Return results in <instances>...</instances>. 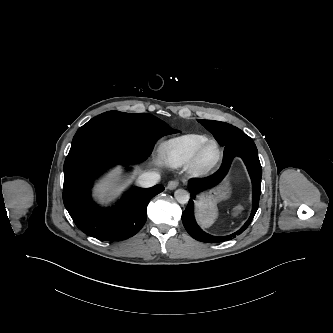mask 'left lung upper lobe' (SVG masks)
Wrapping results in <instances>:
<instances>
[{
  "instance_id": "obj_1",
  "label": "left lung upper lobe",
  "mask_w": 333,
  "mask_h": 333,
  "mask_svg": "<svg viewBox=\"0 0 333 333\" xmlns=\"http://www.w3.org/2000/svg\"><path fill=\"white\" fill-rule=\"evenodd\" d=\"M199 122L214 135L221 146H225L233 135L241 131L225 122L214 120H199Z\"/></svg>"
}]
</instances>
